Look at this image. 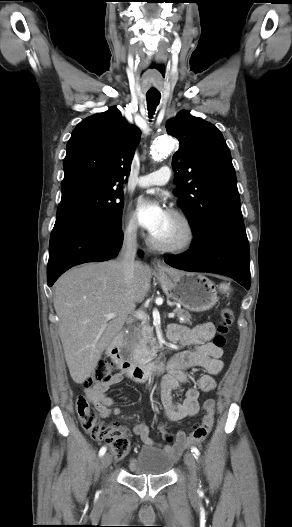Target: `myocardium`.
<instances>
[{
    "label": "myocardium",
    "mask_w": 292,
    "mask_h": 527,
    "mask_svg": "<svg viewBox=\"0 0 292 527\" xmlns=\"http://www.w3.org/2000/svg\"><path fill=\"white\" fill-rule=\"evenodd\" d=\"M168 214L175 218L183 228L182 237L171 243H164L156 240L152 235L148 237L150 246L158 251L169 253H181L189 250L196 238L195 227L191 219L182 211L177 209H170Z\"/></svg>",
    "instance_id": "f54148a6"
}]
</instances>
